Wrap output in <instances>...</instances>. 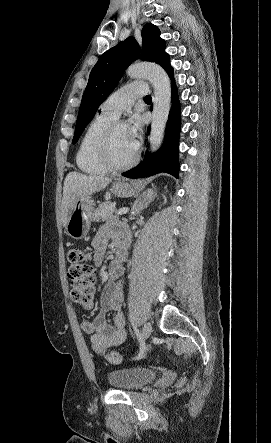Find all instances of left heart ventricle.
<instances>
[{
	"mask_svg": "<svg viewBox=\"0 0 271 443\" xmlns=\"http://www.w3.org/2000/svg\"><path fill=\"white\" fill-rule=\"evenodd\" d=\"M137 149L134 147L128 132L127 125L116 128L112 140V152L117 162L123 163L130 160Z\"/></svg>",
	"mask_w": 271,
	"mask_h": 443,
	"instance_id": "obj_1",
	"label": "left heart ventricle"
}]
</instances>
